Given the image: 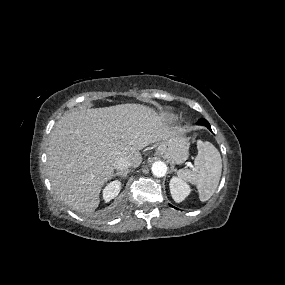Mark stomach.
<instances>
[{"instance_id": "obj_1", "label": "stomach", "mask_w": 285, "mask_h": 285, "mask_svg": "<svg viewBox=\"0 0 285 285\" xmlns=\"http://www.w3.org/2000/svg\"><path fill=\"white\" fill-rule=\"evenodd\" d=\"M156 154L173 164L184 163L189 156V140L180 133L162 140L156 147Z\"/></svg>"}]
</instances>
